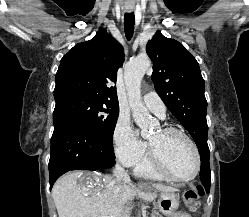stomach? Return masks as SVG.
I'll use <instances>...</instances> for the list:
<instances>
[{"mask_svg": "<svg viewBox=\"0 0 249 217\" xmlns=\"http://www.w3.org/2000/svg\"><path fill=\"white\" fill-rule=\"evenodd\" d=\"M178 207L179 199L173 192H162L160 194L158 208L163 214L171 216L176 212Z\"/></svg>", "mask_w": 249, "mask_h": 217, "instance_id": "obj_1", "label": "stomach"}]
</instances>
